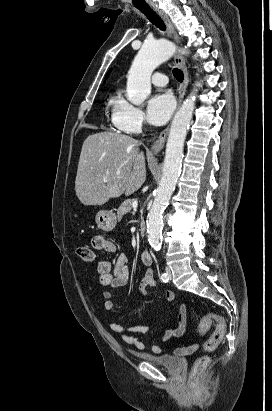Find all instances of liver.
<instances>
[{"mask_svg": "<svg viewBox=\"0 0 272 411\" xmlns=\"http://www.w3.org/2000/svg\"><path fill=\"white\" fill-rule=\"evenodd\" d=\"M139 145L138 140L115 132L86 138L75 180L76 195L82 204L101 206L123 193L131 195L143 185L146 164Z\"/></svg>", "mask_w": 272, "mask_h": 411, "instance_id": "liver-1", "label": "liver"}]
</instances>
